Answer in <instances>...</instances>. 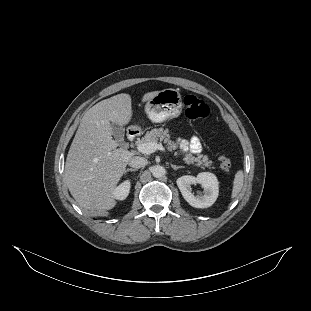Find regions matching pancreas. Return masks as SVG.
<instances>
[{
	"label": "pancreas",
	"mask_w": 311,
	"mask_h": 311,
	"mask_svg": "<svg viewBox=\"0 0 311 311\" xmlns=\"http://www.w3.org/2000/svg\"><path fill=\"white\" fill-rule=\"evenodd\" d=\"M149 142H163L167 145V148L169 151L176 150L178 148V144L171 140L169 129H164L162 127L160 128H154L150 131H147L145 135L136 141V145L143 144V143H149ZM184 161L187 164H195L196 166L201 167L202 169L205 168H214L213 162L209 160L207 155L199 154L198 156H193L190 153L185 154Z\"/></svg>",
	"instance_id": "1"
}]
</instances>
